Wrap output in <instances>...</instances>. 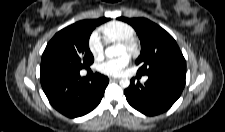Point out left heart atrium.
<instances>
[{
  "label": "left heart atrium",
  "mask_w": 225,
  "mask_h": 132,
  "mask_svg": "<svg viewBox=\"0 0 225 132\" xmlns=\"http://www.w3.org/2000/svg\"><path fill=\"white\" fill-rule=\"evenodd\" d=\"M130 62L129 56L125 53L114 59L101 62L98 69L108 76H119Z\"/></svg>",
  "instance_id": "1"
}]
</instances>
